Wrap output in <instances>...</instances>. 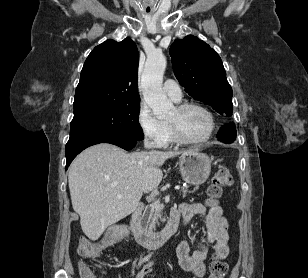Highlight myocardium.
I'll use <instances>...</instances> for the list:
<instances>
[{"label":"myocardium","mask_w":308,"mask_h":278,"mask_svg":"<svg viewBox=\"0 0 308 278\" xmlns=\"http://www.w3.org/2000/svg\"><path fill=\"white\" fill-rule=\"evenodd\" d=\"M189 108H197L203 111L207 115L209 122H210L208 133L206 134L205 137L201 139H191L183 135L181 131L174 124L168 122V125H169V128L171 130L173 137L176 139V141L180 143L190 144V145L202 144V143L209 141L212 138L215 132V129H216V120H215L214 114L206 106H204L203 104L197 103V102H185V103H181L176 106V109L178 111H184Z\"/></svg>","instance_id":"1"}]
</instances>
